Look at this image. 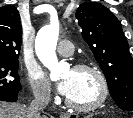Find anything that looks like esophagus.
I'll return each mask as SVG.
<instances>
[{
	"instance_id": "34e87169",
	"label": "esophagus",
	"mask_w": 133,
	"mask_h": 118,
	"mask_svg": "<svg viewBox=\"0 0 133 118\" xmlns=\"http://www.w3.org/2000/svg\"><path fill=\"white\" fill-rule=\"evenodd\" d=\"M61 117L62 118H78L76 114H70V113H63Z\"/></svg>"
}]
</instances>
